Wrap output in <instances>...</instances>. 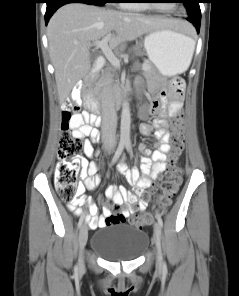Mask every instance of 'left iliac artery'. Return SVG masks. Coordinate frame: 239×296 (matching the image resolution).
Segmentation results:
<instances>
[{
	"label": "left iliac artery",
	"instance_id": "obj_1",
	"mask_svg": "<svg viewBox=\"0 0 239 296\" xmlns=\"http://www.w3.org/2000/svg\"><path fill=\"white\" fill-rule=\"evenodd\" d=\"M126 149H127V151H128L130 154H132V150H131V145H130V143H127V144H126ZM156 218H157V220H158V223H159L160 227H162V226H163V221H162V218H161V216H160L159 213H156ZM163 271H167V265H166L165 262H163Z\"/></svg>",
	"mask_w": 239,
	"mask_h": 296
}]
</instances>
